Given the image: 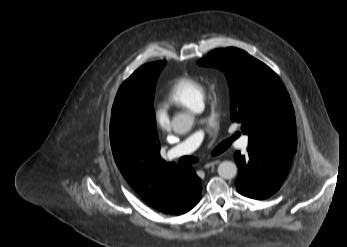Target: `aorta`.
<instances>
[{
  "instance_id": "aorta-1",
  "label": "aorta",
  "mask_w": 347,
  "mask_h": 247,
  "mask_svg": "<svg viewBox=\"0 0 347 247\" xmlns=\"http://www.w3.org/2000/svg\"><path fill=\"white\" fill-rule=\"evenodd\" d=\"M194 117L189 113H181L172 120V128L175 133L185 134L192 129ZM218 174L221 178L232 179L237 173V166L232 161H223L218 166Z\"/></svg>"
}]
</instances>
